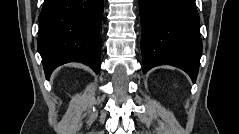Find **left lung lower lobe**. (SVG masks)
Segmentation results:
<instances>
[{"label": "left lung lower lobe", "mask_w": 239, "mask_h": 134, "mask_svg": "<svg viewBox=\"0 0 239 134\" xmlns=\"http://www.w3.org/2000/svg\"><path fill=\"white\" fill-rule=\"evenodd\" d=\"M139 9L143 73L171 65L195 82L202 53L195 0H139Z\"/></svg>", "instance_id": "obj_1"}]
</instances>
